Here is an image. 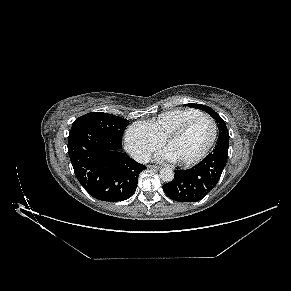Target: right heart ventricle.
I'll return each instance as SVG.
<instances>
[{
	"label": "right heart ventricle",
	"instance_id": "1",
	"mask_svg": "<svg viewBox=\"0 0 291 291\" xmlns=\"http://www.w3.org/2000/svg\"><path fill=\"white\" fill-rule=\"evenodd\" d=\"M202 114L201 111L192 108H177L160 114L155 119L145 123L148 130L160 140L180 126L188 119Z\"/></svg>",
	"mask_w": 291,
	"mask_h": 291
}]
</instances>
